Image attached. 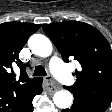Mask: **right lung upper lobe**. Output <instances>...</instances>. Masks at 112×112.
<instances>
[{
	"instance_id": "cb5924a9",
	"label": "right lung upper lobe",
	"mask_w": 112,
	"mask_h": 112,
	"mask_svg": "<svg viewBox=\"0 0 112 112\" xmlns=\"http://www.w3.org/2000/svg\"><path fill=\"white\" fill-rule=\"evenodd\" d=\"M40 26L16 21L0 24V112H21L43 81L42 77L28 78L26 66L19 59L20 50ZM14 64L20 68L18 78Z\"/></svg>"
}]
</instances>
